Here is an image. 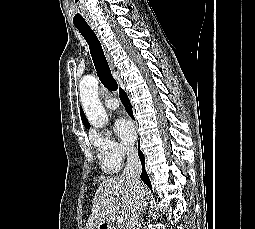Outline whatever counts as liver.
I'll use <instances>...</instances> for the list:
<instances>
[{
    "label": "liver",
    "instance_id": "6515ba94",
    "mask_svg": "<svg viewBox=\"0 0 255 229\" xmlns=\"http://www.w3.org/2000/svg\"><path fill=\"white\" fill-rule=\"evenodd\" d=\"M141 186L146 193V186L142 183ZM133 194V184L123 175L104 179L95 193L87 227H96L110 222L119 209L127 222Z\"/></svg>",
    "mask_w": 255,
    "mask_h": 229
}]
</instances>
